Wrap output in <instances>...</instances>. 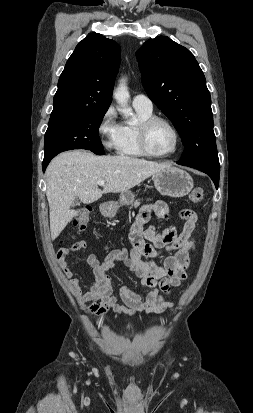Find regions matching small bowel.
Listing matches in <instances>:
<instances>
[{
	"mask_svg": "<svg viewBox=\"0 0 253 413\" xmlns=\"http://www.w3.org/2000/svg\"><path fill=\"white\" fill-rule=\"evenodd\" d=\"M154 214L160 220L169 219V208L163 201H156L143 206L130 231L132 248H117L111 250L101 261L95 254L89 253L85 263L94 274V282L89 290L80 292V281L75 277L67 261L71 253L88 249L85 241H78L69 247L60 248L56 259L63 274L69 278V283L82 303H91L88 313L92 316H101L109 311L117 314L134 316L137 314H162L170 311L172 303L165 299L172 287H178L187 278V269L190 263V251L195 249L194 230L197 215L193 210L183 209L180 212L184 225L181 230L175 226L166 227L161 234H157L153 226L144 229V225ZM166 252H173L162 261L156 259ZM117 264H121L135 274L143 288L149 292H135L126 286L120 287L118 296L123 304L117 302L113 294L109 272Z\"/></svg>",
	"mask_w": 253,
	"mask_h": 413,
	"instance_id": "obj_1",
	"label": "small bowel"
}]
</instances>
